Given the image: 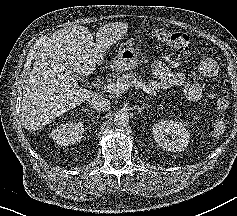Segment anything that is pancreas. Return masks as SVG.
Masks as SVG:
<instances>
[{
    "instance_id": "1",
    "label": "pancreas",
    "mask_w": 237,
    "mask_h": 216,
    "mask_svg": "<svg viewBox=\"0 0 237 216\" xmlns=\"http://www.w3.org/2000/svg\"><path fill=\"white\" fill-rule=\"evenodd\" d=\"M136 79L137 82H140L144 87L149 88L152 93H155L158 88H160L159 82L156 81H150V82H144L142 75L136 72H129L122 74V80H134Z\"/></svg>"
}]
</instances>
